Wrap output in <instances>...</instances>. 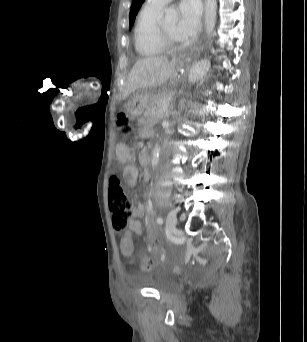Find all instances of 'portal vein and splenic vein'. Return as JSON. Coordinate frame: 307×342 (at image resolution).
Here are the masks:
<instances>
[{
  "label": "portal vein and splenic vein",
  "instance_id": "18ae733b",
  "mask_svg": "<svg viewBox=\"0 0 307 342\" xmlns=\"http://www.w3.org/2000/svg\"><path fill=\"white\" fill-rule=\"evenodd\" d=\"M167 109H168V108H167L166 106H162V107H161V110H162V111H166Z\"/></svg>",
  "mask_w": 307,
  "mask_h": 342
}]
</instances>
